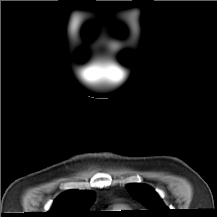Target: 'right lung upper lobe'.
<instances>
[{
  "instance_id": "right-lung-upper-lobe-1",
  "label": "right lung upper lobe",
  "mask_w": 217,
  "mask_h": 217,
  "mask_svg": "<svg viewBox=\"0 0 217 217\" xmlns=\"http://www.w3.org/2000/svg\"><path fill=\"white\" fill-rule=\"evenodd\" d=\"M95 194L92 191L70 190L61 194L45 213L46 217H92L89 211Z\"/></svg>"
}]
</instances>
